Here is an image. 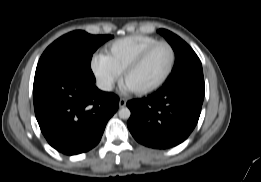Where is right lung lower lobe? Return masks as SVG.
Masks as SVG:
<instances>
[{"mask_svg":"<svg viewBox=\"0 0 261 182\" xmlns=\"http://www.w3.org/2000/svg\"><path fill=\"white\" fill-rule=\"evenodd\" d=\"M33 101L40 129L57 151L74 155L95 147L119 98L62 66L34 78Z\"/></svg>","mask_w":261,"mask_h":182,"instance_id":"obj_1","label":"right lung lower lobe"}]
</instances>
